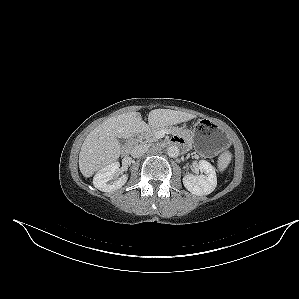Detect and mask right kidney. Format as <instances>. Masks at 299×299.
<instances>
[{
	"mask_svg": "<svg viewBox=\"0 0 299 299\" xmlns=\"http://www.w3.org/2000/svg\"><path fill=\"white\" fill-rule=\"evenodd\" d=\"M119 166L118 162H114L100 169L93 178L94 187L103 192H113L124 186L128 179L127 175L115 179Z\"/></svg>",
	"mask_w": 299,
	"mask_h": 299,
	"instance_id": "ca27d5eb",
	"label": "right kidney"
}]
</instances>
